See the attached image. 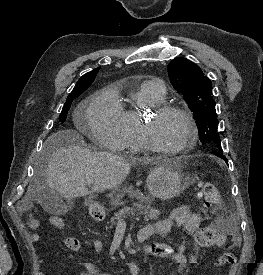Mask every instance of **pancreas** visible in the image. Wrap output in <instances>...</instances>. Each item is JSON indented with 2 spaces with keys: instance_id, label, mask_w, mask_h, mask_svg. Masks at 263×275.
Returning a JSON list of instances; mask_svg holds the SVG:
<instances>
[{
  "instance_id": "pancreas-1",
  "label": "pancreas",
  "mask_w": 263,
  "mask_h": 275,
  "mask_svg": "<svg viewBox=\"0 0 263 275\" xmlns=\"http://www.w3.org/2000/svg\"><path fill=\"white\" fill-rule=\"evenodd\" d=\"M132 198L139 200V203L135 207H124L118 212L114 214L111 218V225H115L116 221H119L121 218H125L128 215L134 216L135 213L137 215H143L144 220L147 221L148 219L156 220L159 218L161 212L153 207H151V203L153 198L150 196H145L139 191H134L130 193Z\"/></svg>"
}]
</instances>
